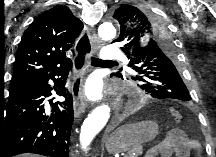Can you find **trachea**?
Listing matches in <instances>:
<instances>
[{
	"mask_svg": "<svg viewBox=\"0 0 216 157\" xmlns=\"http://www.w3.org/2000/svg\"><path fill=\"white\" fill-rule=\"evenodd\" d=\"M88 46H89V39H88L87 35L85 34L81 38L80 42L78 43L77 48L80 51H85ZM111 63H115V62L114 61H103V60L98 59V58H92V60H91L92 65H106V64H111Z\"/></svg>",
	"mask_w": 216,
	"mask_h": 157,
	"instance_id": "1",
	"label": "trachea"
}]
</instances>
